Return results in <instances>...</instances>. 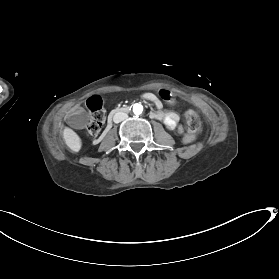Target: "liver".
<instances>
[{
	"instance_id": "obj_1",
	"label": "liver",
	"mask_w": 279,
	"mask_h": 279,
	"mask_svg": "<svg viewBox=\"0 0 279 279\" xmlns=\"http://www.w3.org/2000/svg\"><path fill=\"white\" fill-rule=\"evenodd\" d=\"M63 139L66 146L72 152L79 153L82 150V139L80 135L69 126H65L63 129Z\"/></svg>"
}]
</instances>
